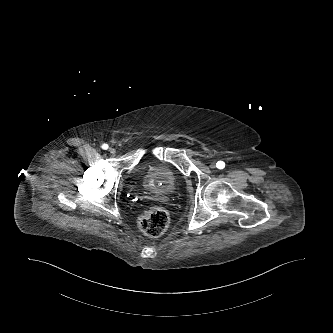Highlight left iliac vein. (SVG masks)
I'll list each match as a JSON object with an SVG mask.
<instances>
[{
	"mask_svg": "<svg viewBox=\"0 0 333 333\" xmlns=\"http://www.w3.org/2000/svg\"><path fill=\"white\" fill-rule=\"evenodd\" d=\"M216 166H217V165H216V163H215V162H212V163L210 164V168H211V169H215V168H216Z\"/></svg>",
	"mask_w": 333,
	"mask_h": 333,
	"instance_id": "4c4485c4",
	"label": "left iliac vein"
}]
</instances>
